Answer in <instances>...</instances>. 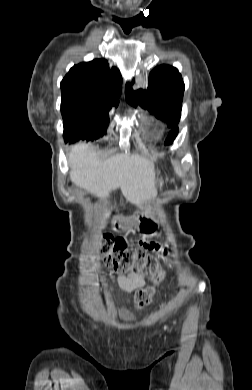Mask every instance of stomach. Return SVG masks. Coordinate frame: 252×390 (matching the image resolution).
<instances>
[{"mask_svg":"<svg viewBox=\"0 0 252 390\" xmlns=\"http://www.w3.org/2000/svg\"><path fill=\"white\" fill-rule=\"evenodd\" d=\"M132 222L134 225L143 233H151L158 224V219L152 211L141 212L129 220L124 221L120 218L113 220L112 225L115 231L126 230L129 223Z\"/></svg>","mask_w":252,"mask_h":390,"instance_id":"1","label":"stomach"}]
</instances>
